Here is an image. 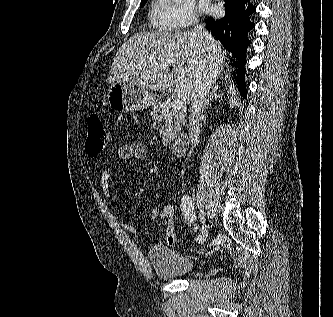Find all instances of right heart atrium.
<instances>
[{
  "label": "right heart atrium",
  "mask_w": 333,
  "mask_h": 317,
  "mask_svg": "<svg viewBox=\"0 0 333 317\" xmlns=\"http://www.w3.org/2000/svg\"><path fill=\"white\" fill-rule=\"evenodd\" d=\"M154 22L163 31H178L197 22L192 0H154Z\"/></svg>",
  "instance_id": "obj_1"
}]
</instances>
